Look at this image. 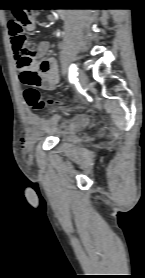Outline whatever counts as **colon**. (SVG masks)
Wrapping results in <instances>:
<instances>
[{
	"label": "colon",
	"mask_w": 145,
	"mask_h": 278,
	"mask_svg": "<svg viewBox=\"0 0 145 278\" xmlns=\"http://www.w3.org/2000/svg\"><path fill=\"white\" fill-rule=\"evenodd\" d=\"M31 24V14L24 8H15L11 12L8 30L15 46L26 48V53L32 55L33 51L27 44L26 29ZM40 80L38 69H32L23 75V81L28 85L23 91V96L31 110H40L44 106V100L35 87ZM23 154L29 155L31 147L24 139L21 140Z\"/></svg>",
	"instance_id": "5ec220e1"
}]
</instances>
